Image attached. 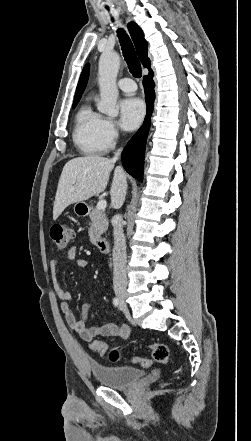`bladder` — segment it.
I'll list each match as a JSON object with an SVG mask.
<instances>
[{"label":"bladder","mask_w":251,"mask_h":441,"mask_svg":"<svg viewBox=\"0 0 251 441\" xmlns=\"http://www.w3.org/2000/svg\"><path fill=\"white\" fill-rule=\"evenodd\" d=\"M91 371L100 384L115 389L127 388L145 375L142 369L130 366L92 364Z\"/></svg>","instance_id":"31cf9c89"}]
</instances>
